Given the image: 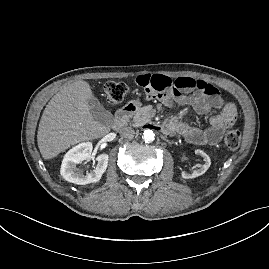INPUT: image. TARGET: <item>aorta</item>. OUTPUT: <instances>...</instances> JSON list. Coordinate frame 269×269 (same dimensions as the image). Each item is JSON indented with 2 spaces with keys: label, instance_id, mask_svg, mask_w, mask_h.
I'll use <instances>...</instances> for the list:
<instances>
[{
  "label": "aorta",
  "instance_id": "obj_1",
  "mask_svg": "<svg viewBox=\"0 0 269 269\" xmlns=\"http://www.w3.org/2000/svg\"><path fill=\"white\" fill-rule=\"evenodd\" d=\"M142 138L146 143H150V142L154 141L155 134H154V132L152 130H145L144 133H143Z\"/></svg>",
  "mask_w": 269,
  "mask_h": 269
}]
</instances>
